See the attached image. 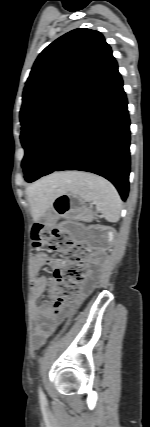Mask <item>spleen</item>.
<instances>
[{
	"instance_id": "3e777b00",
	"label": "spleen",
	"mask_w": 150,
	"mask_h": 427,
	"mask_svg": "<svg viewBox=\"0 0 150 427\" xmlns=\"http://www.w3.org/2000/svg\"><path fill=\"white\" fill-rule=\"evenodd\" d=\"M68 190L85 202H92L101 210L108 222H117L122 208L121 198L115 187L106 179L83 172H74Z\"/></svg>"
}]
</instances>
